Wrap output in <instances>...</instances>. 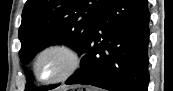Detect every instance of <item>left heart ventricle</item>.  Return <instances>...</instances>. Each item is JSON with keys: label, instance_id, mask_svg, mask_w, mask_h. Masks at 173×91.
Wrapping results in <instances>:
<instances>
[{"label": "left heart ventricle", "instance_id": "1", "mask_svg": "<svg viewBox=\"0 0 173 91\" xmlns=\"http://www.w3.org/2000/svg\"><path fill=\"white\" fill-rule=\"evenodd\" d=\"M63 61L57 55L46 56L40 66V72L44 77L56 74L62 69Z\"/></svg>", "mask_w": 173, "mask_h": 91}]
</instances>
